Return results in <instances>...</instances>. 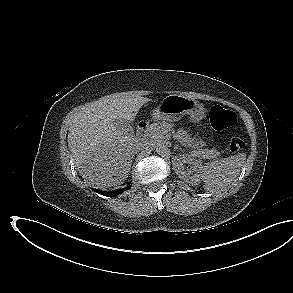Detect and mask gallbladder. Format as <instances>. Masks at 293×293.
Returning a JSON list of instances; mask_svg holds the SVG:
<instances>
[{
	"label": "gallbladder",
	"instance_id": "1",
	"mask_svg": "<svg viewBox=\"0 0 293 293\" xmlns=\"http://www.w3.org/2000/svg\"><path fill=\"white\" fill-rule=\"evenodd\" d=\"M114 126L118 131L123 132L124 134L133 135V128L132 126L125 120L123 119H116L114 120Z\"/></svg>",
	"mask_w": 293,
	"mask_h": 293
}]
</instances>
